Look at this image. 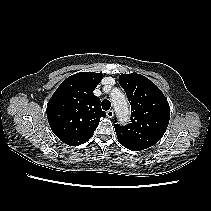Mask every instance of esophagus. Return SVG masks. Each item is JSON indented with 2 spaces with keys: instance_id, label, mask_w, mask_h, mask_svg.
<instances>
[{
  "instance_id": "1",
  "label": "esophagus",
  "mask_w": 211,
  "mask_h": 211,
  "mask_svg": "<svg viewBox=\"0 0 211 211\" xmlns=\"http://www.w3.org/2000/svg\"><path fill=\"white\" fill-rule=\"evenodd\" d=\"M106 114H107V117H108V118H113V116H114V111H113V110H108Z\"/></svg>"
}]
</instances>
